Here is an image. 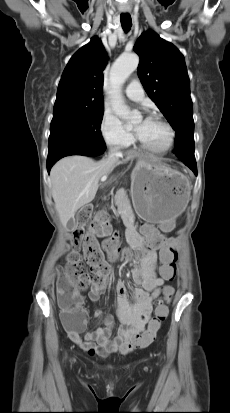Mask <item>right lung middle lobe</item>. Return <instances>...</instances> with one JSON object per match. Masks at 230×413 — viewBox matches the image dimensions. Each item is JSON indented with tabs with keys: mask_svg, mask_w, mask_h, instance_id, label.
<instances>
[{
	"mask_svg": "<svg viewBox=\"0 0 230 413\" xmlns=\"http://www.w3.org/2000/svg\"><path fill=\"white\" fill-rule=\"evenodd\" d=\"M103 111L53 113L48 157L71 148H104L100 131Z\"/></svg>",
	"mask_w": 230,
	"mask_h": 413,
	"instance_id": "right-lung-middle-lobe-1",
	"label": "right lung middle lobe"
}]
</instances>
